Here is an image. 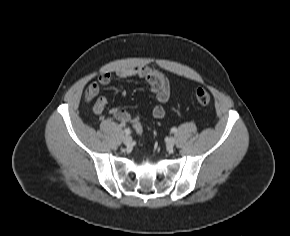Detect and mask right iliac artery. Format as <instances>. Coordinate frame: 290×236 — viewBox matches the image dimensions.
I'll return each mask as SVG.
<instances>
[{"mask_svg": "<svg viewBox=\"0 0 290 236\" xmlns=\"http://www.w3.org/2000/svg\"><path fill=\"white\" fill-rule=\"evenodd\" d=\"M124 132L129 135L131 133L130 129H125Z\"/></svg>", "mask_w": 290, "mask_h": 236, "instance_id": "82829eb1", "label": "right iliac artery"}]
</instances>
